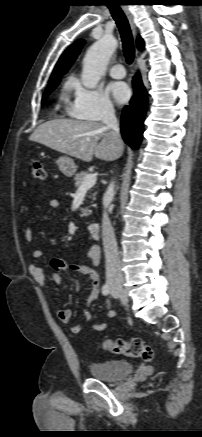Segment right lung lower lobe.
Here are the masks:
<instances>
[{"label": "right lung lower lobe", "instance_id": "98d812e1", "mask_svg": "<svg viewBox=\"0 0 202 437\" xmlns=\"http://www.w3.org/2000/svg\"><path fill=\"white\" fill-rule=\"evenodd\" d=\"M135 94L130 104L123 108L121 116V133L124 141L133 149H137L143 136V123L147 110V93L141 77L133 78Z\"/></svg>", "mask_w": 202, "mask_h": 437}]
</instances>
